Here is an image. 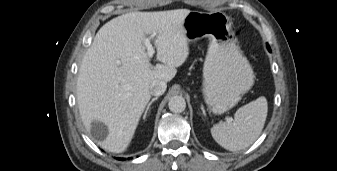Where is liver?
Returning a JSON list of instances; mask_svg holds the SVG:
<instances>
[{
    "label": "liver",
    "mask_w": 337,
    "mask_h": 171,
    "mask_svg": "<svg viewBox=\"0 0 337 171\" xmlns=\"http://www.w3.org/2000/svg\"><path fill=\"white\" fill-rule=\"evenodd\" d=\"M191 11L131 12L104 24L82 60L77 80L81 120L107 126L100 146L121 153L129 146L151 98L150 84L171 81L189 55L183 22ZM155 34L157 60L152 66L144 46Z\"/></svg>",
    "instance_id": "1"
}]
</instances>
